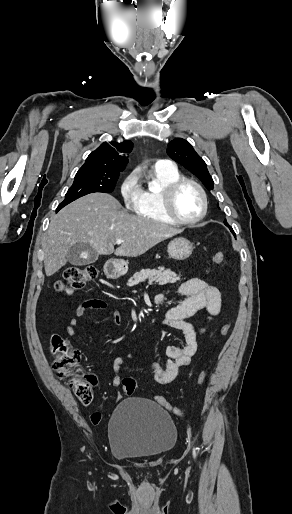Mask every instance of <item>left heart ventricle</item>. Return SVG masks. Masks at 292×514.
<instances>
[{
  "label": "left heart ventricle",
  "mask_w": 292,
  "mask_h": 514,
  "mask_svg": "<svg viewBox=\"0 0 292 514\" xmlns=\"http://www.w3.org/2000/svg\"><path fill=\"white\" fill-rule=\"evenodd\" d=\"M201 210L198 191L192 186H183L174 196V211L183 220L194 219Z\"/></svg>",
  "instance_id": "b2bd125f"
}]
</instances>
